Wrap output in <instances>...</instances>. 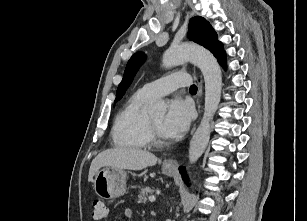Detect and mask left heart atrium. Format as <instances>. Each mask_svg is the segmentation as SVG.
<instances>
[{"label":"left heart atrium","mask_w":307,"mask_h":221,"mask_svg":"<svg viewBox=\"0 0 307 221\" xmlns=\"http://www.w3.org/2000/svg\"><path fill=\"white\" fill-rule=\"evenodd\" d=\"M192 108L189 103L180 98L170 102L168 112L162 124V130L167 138H177L189 127Z\"/></svg>","instance_id":"1"}]
</instances>
